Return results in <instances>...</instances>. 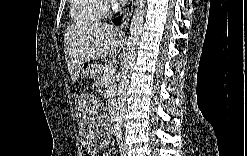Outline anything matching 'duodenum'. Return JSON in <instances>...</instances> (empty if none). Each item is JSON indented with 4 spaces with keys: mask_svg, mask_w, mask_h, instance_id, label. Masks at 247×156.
<instances>
[{
    "mask_svg": "<svg viewBox=\"0 0 247 156\" xmlns=\"http://www.w3.org/2000/svg\"><path fill=\"white\" fill-rule=\"evenodd\" d=\"M110 104H109V112L112 115V117H114L116 115V103H115V99L111 98L110 99Z\"/></svg>",
    "mask_w": 247,
    "mask_h": 156,
    "instance_id": "obj_1",
    "label": "duodenum"
}]
</instances>
